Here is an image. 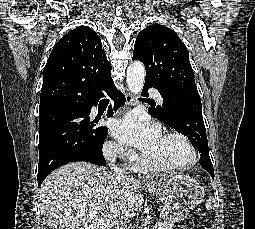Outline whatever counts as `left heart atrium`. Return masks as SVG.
Segmentation results:
<instances>
[{
	"mask_svg": "<svg viewBox=\"0 0 255 229\" xmlns=\"http://www.w3.org/2000/svg\"><path fill=\"white\" fill-rule=\"evenodd\" d=\"M111 132L113 137L120 142L143 152L152 149L161 136L159 127L154 122L134 113L114 120Z\"/></svg>",
	"mask_w": 255,
	"mask_h": 229,
	"instance_id": "obj_1",
	"label": "left heart atrium"
}]
</instances>
